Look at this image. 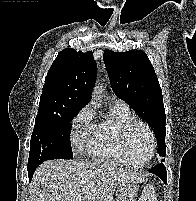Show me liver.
Instances as JSON below:
<instances>
[{"label": "liver", "instance_id": "obj_1", "mask_svg": "<svg viewBox=\"0 0 196 201\" xmlns=\"http://www.w3.org/2000/svg\"><path fill=\"white\" fill-rule=\"evenodd\" d=\"M135 172L103 161L49 160L35 171L30 201H113L116 188L141 182Z\"/></svg>", "mask_w": 196, "mask_h": 201}]
</instances>
